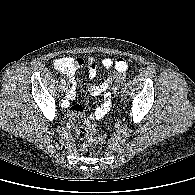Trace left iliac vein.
<instances>
[{"label": "left iliac vein", "mask_w": 195, "mask_h": 195, "mask_svg": "<svg viewBox=\"0 0 195 195\" xmlns=\"http://www.w3.org/2000/svg\"><path fill=\"white\" fill-rule=\"evenodd\" d=\"M121 96L123 98H126L128 96V89L127 88H123L122 91H121Z\"/></svg>", "instance_id": "1"}]
</instances>
